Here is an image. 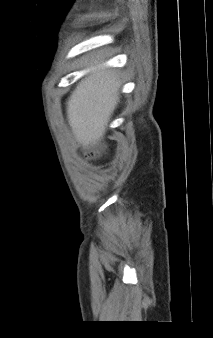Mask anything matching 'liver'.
Masks as SVG:
<instances>
[{
	"mask_svg": "<svg viewBox=\"0 0 213 338\" xmlns=\"http://www.w3.org/2000/svg\"><path fill=\"white\" fill-rule=\"evenodd\" d=\"M119 86L114 71L102 70L84 79L70 96L67 117L83 149L102 140L109 119L119 102Z\"/></svg>",
	"mask_w": 213,
	"mask_h": 338,
	"instance_id": "obj_1",
	"label": "liver"
}]
</instances>
